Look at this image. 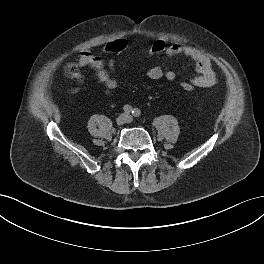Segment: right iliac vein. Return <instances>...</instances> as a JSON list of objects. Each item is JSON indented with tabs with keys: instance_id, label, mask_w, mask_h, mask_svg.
<instances>
[{
	"instance_id": "1",
	"label": "right iliac vein",
	"mask_w": 264,
	"mask_h": 264,
	"mask_svg": "<svg viewBox=\"0 0 264 264\" xmlns=\"http://www.w3.org/2000/svg\"><path fill=\"white\" fill-rule=\"evenodd\" d=\"M126 121H127V116H126L125 114H121V115H119V116L117 117V119H116V123H117L118 125H122V124H124Z\"/></svg>"
}]
</instances>
